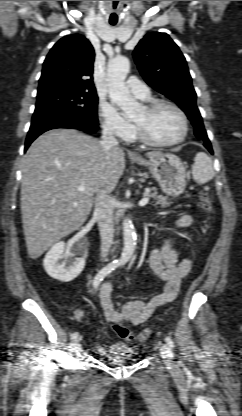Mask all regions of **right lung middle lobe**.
<instances>
[{
    "label": "right lung middle lobe",
    "mask_w": 242,
    "mask_h": 416,
    "mask_svg": "<svg viewBox=\"0 0 242 416\" xmlns=\"http://www.w3.org/2000/svg\"><path fill=\"white\" fill-rule=\"evenodd\" d=\"M97 104L96 92L59 89L48 94L37 95L32 122L45 116H62L87 124H98Z\"/></svg>",
    "instance_id": "right-lung-middle-lobe-1"
}]
</instances>
